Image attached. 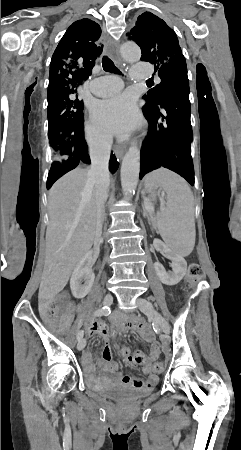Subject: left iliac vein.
Returning <instances> with one entry per match:
<instances>
[{"label":"left iliac vein","instance_id":"left-iliac-vein-1","mask_svg":"<svg viewBox=\"0 0 241 450\" xmlns=\"http://www.w3.org/2000/svg\"><path fill=\"white\" fill-rule=\"evenodd\" d=\"M137 305L139 309L162 330L163 341H166L169 338L170 334V326L167 321L160 316V314L154 309L152 303L148 300L144 298H138Z\"/></svg>","mask_w":241,"mask_h":450}]
</instances>
